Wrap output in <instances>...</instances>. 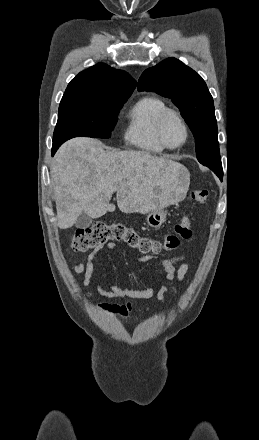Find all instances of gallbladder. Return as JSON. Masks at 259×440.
<instances>
[{
  "mask_svg": "<svg viewBox=\"0 0 259 440\" xmlns=\"http://www.w3.org/2000/svg\"><path fill=\"white\" fill-rule=\"evenodd\" d=\"M91 223H92V218L88 216L85 212H82L78 216L75 222V226L80 229H86L91 225Z\"/></svg>",
  "mask_w": 259,
  "mask_h": 440,
  "instance_id": "obj_1",
  "label": "gallbladder"
}]
</instances>
